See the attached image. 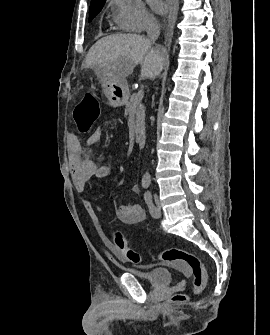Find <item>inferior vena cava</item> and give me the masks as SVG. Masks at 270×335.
I'll return each mask as SVG.
<instances>
[{
  "label": "inferior vena cava",
  "mask_w": 270,
  "mask_h": 335,
  "mask_svg": "<svg viewBox=\"0 0 270 335\" xmlns=\"http://www.w3.org/2000/svg\"><path fill=\"white\" fill-rule=\"evenodd\" d=\"M147 36L151 42L158 40L160 36V26L157 22H150V26L147 28Z\"/></svg>",
  "instance_id": "inferior-vena-cava-1"
}]
</instances>
